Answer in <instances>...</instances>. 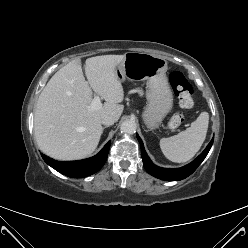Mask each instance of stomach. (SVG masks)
<instances>
[{"label": "stomach", "mask_w": 248, "mask_h": 248, "mask_svg": "<svg viewBox=\"0 0 248 248\" xmlns=\"http://www.w3.org/2000/svg\"><path fill=\"white\" fill-rule=\"evenodd\" d=\"M165 59L141 52H128L117 65L116 75L120 81H146L147 105L142 114L146 127L157 129L173 106V94L166 76Z\"/></svg>", "instance_id": "1"}]
</instances>
